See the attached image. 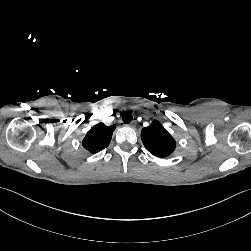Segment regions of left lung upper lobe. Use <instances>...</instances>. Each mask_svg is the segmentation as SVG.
I'll list each match as a JSON object with an SVG mask.
<instances>
[{
	"mask_svg": "<svg viewBox=\"0 0 251 251\" xmlns=\"http://www.w3.org/2000/svg\"><path fill=\"white\" fill-rule=\"evenodd\" d=\"M141 138L146 149L157 157L170 155L176 146L174 138L157 121L142 129Z\"/></svg>",
	"mask_w": 251,
	"mask_h": 251,
	"instance_id": "1",
	"label": "left lung upper lobe"
}]
</instances>
